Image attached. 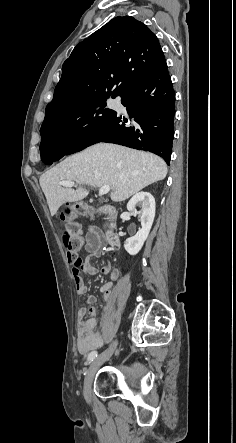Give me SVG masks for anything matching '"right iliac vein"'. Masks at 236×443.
Segmentation results:
<instances>
[{"label": "right iliac vein", "mask_w": 236, "mask_h": 443, "mask_svg": "<svg viewBox=\"0 0 236 443\" xmlns=\"http://www.w3.org/2000/svg\"><path fill=\"white\" fill-rule=\"evenodd\" d=\"M117 345L118 341L115 340L105 351H103L100 355H98L90 364L87 373L85 375L84 384H83V392L86 397H89L91 395L92 383L97 370L105 361H107L112 356Z\"/></svg>", "instance_id": "1"}]
</instances>
